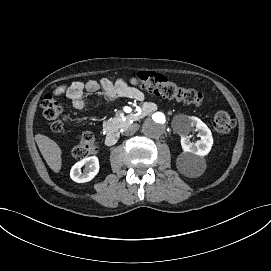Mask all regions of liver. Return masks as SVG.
<instances>
[{"label": "liver", "mask_w": 271, "mask_h": 271, "mask_svg": "<svg viewBox=\"0 0 271 271\" xmlns=\"http://www.w3.org/2000/svg\"><path fill=\"white\" fill-rule=\"evenodd\" d=\"M35 141L46 163L54 172H58L61 168V152L58 146L52 140L42 135H37Z\"/></svg>", "instance_id": "liver-1"}]
</instances>
